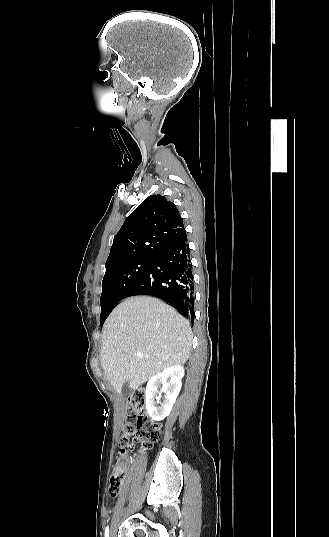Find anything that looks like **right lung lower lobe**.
Instances as JSON below:
<instances>
[{
	"instance_id": "1",
	"label": "right lung lower lobe",
	"mask_w": 329,
	"mask_h": 537,
	"mask_svg": "<svg viewBox=\"0 0 329 537\" xmlns=\"http://www.w3.org/2000/svg\"><path fill=\"white\" fill-rule=\"evenodd\" d=\"M150 295L167 301L186 318H194V282L186 233L154 257L125 297Z\"/></svg>"
}]
</instances>
